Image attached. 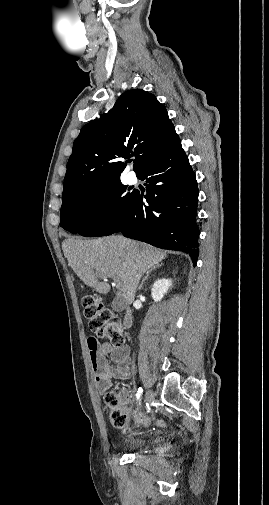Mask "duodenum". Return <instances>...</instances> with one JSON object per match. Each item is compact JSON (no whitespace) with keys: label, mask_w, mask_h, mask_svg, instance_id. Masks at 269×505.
Returning <instances> with one entry per match:
<instances>
[{"label":"duodenum","mask_w":269,"mask_h":505,"mask_svg":"<svg viewBox=\"0 0 269 505\" xmlns=\"http://www.w3.org/2000/svg\"><path fill=\"white\" fill-rule=\"evenodd\" d=\"M123 323H124V326L126 328H130L131 325H132V314H131V311L129 309H127L126 312H125V314H124Z\"/></svg>","instance_id":"obj_1"}]
</instances>
